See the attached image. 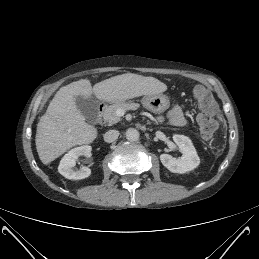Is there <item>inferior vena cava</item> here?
<instances>
[{
	"label": "inferior vena cava",
	"instance_id": "602c4592",
	"mask_svg": "<svg viewBox=\"0 0 259 259\" xmlns=\"http://www.w3.org/2000/svg\"><path fill=\"white\" fill-rule=\"evenodd\" d=\"M119 131L117 130H109L104 134V141L107 143H111L118 139Z\"/></svg>",
	"mask_w": 259,
	"mask_h": 259
}]
</instances>
